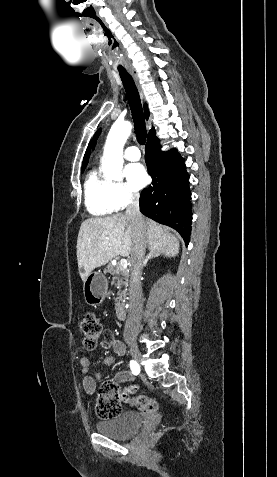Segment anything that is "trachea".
I'll use <instances>...</instances> for the list:
<instances>
[{
  "label": "trachea",
  "instance_id": "trachea-1",
  "mask_svg": "<svg viewBox=\"0 0 277 477\" xmlns=\"http://www.w3.org/2000/svg\"><path fill=\"white\" fill-rule=\"evenodd\" d=\"M119 75L130 104L137 140L141 145H144L146 142V126L138 90L132 76L127 71L121 70Z\"/></svg>",
  "mask_w": 277,
  "mask_h": 477
}]
</instances>
